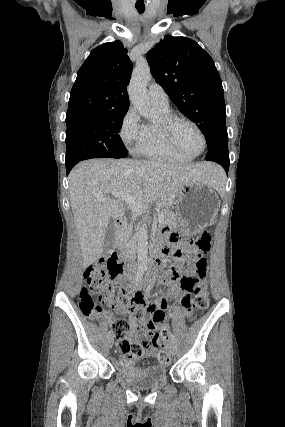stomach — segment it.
Masks as SVG:
<instances>
[{"label":"stomach","mask_w":285,"mask_h":427,"mask_svg":"<svg viewBox=\"0 0 285 427\" xmlns=\"http://www.w3.org/2000/svg\"><path fill=\"white\" fill-rule=\"evenodd\" d=\"M219 207V196L210 184L198 181L184 184L176 200L178 228L197 232L215 220Z\"/></svg>","instance_id":"0dacf381"}]
</instances>
